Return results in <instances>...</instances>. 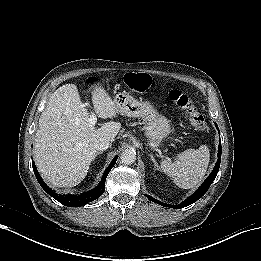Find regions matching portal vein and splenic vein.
I'll return each instance as SVG.
<instances>
[{
	"label": "portal vein and splenic vein",
	"mask_w": 261,
	"mask_h": 261,
	"mask_svg": "<svg viewBox=\"0 0 261 261\" xmlns=\"http://www.w3.org/2000/svg\"><path fill=\"white\" fill-rule=\"evenodd\" d=\"M89 124L91 125V126H95V124H96V122H97V117H96V115L93 113L91 116H90V118H89Z\"/></svg>",
	"instance_id": "portal-vein-and-splenic-vein-1"
}]
</instances>
